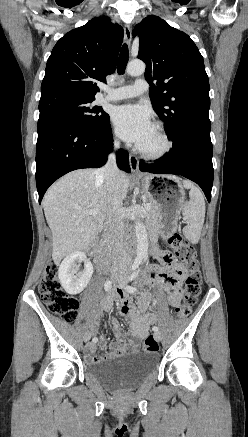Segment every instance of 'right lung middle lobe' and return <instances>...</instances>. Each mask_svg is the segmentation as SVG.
<instances>
[{
    "label": "right lung middle lobe",
    "instance_id": "1",
    "mask_svg": "<svg viewBox=\"0 0 248 437\" xmlns=\"http://www.w3.org/2000/svg\"><path fill=\"white\" fill-rule=\"evenodd\" d=\"M93 100L67 93H51L40 99V117L55 115L88 128H100L109 123L110 118L101 107L89 106Z\"/></svg>",
    "mask_w": 248,
    "mask_h": 437
}]
</instances>
